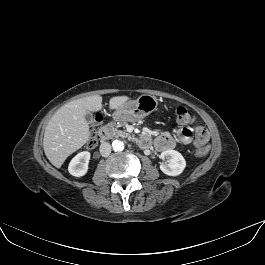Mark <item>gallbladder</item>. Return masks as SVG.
Wrapping results in <instances>:
<instances>
[{
  "instance_id": "1",
  "label": "gallbladder",
  "mask_w": 265,
  "mask_h": 265,
  "mask_svg": "<svg viewBox=\"0 0 265 265\" xmlns=\"http://www.w3.org/2000/svg\"><path fill=\"white\" fill-rule=\"evenodd\" d=\"M85 120L88 124H91L94 121L93 114L90 111L86 112Z\"/></svg>"
}]
</instances>
